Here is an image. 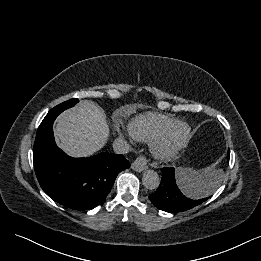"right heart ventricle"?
<instances>
[{"label":"right heart ventricle","mask_w":261,"mask_h":261,"mask_svg":"<svg viewBox=\"0 0 261 261\" xmlns=\"http://www.w3.org/2000/svg\"><path fill=\"white\" fill-rule=\"evenodd\" d=\"M178 122L177 119L163 114L146 113L135 117L130 122L129 133L137 141L151 143L164 135Z\"/></svg>","instance_id":"right-heart-ventricle-1"}]
</instances>
